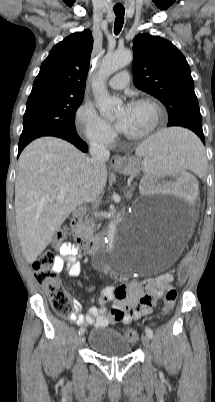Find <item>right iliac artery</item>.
I'll use <instances>...</instances> for the list:
<instances>
[{"instance_id":"82829eb1","label":"right iliac artery","mask_w":215,"mask_h":402,"mask_svg":"<svg viewBox=\"0 0 215 402\" xmlns=\"http://www.w3.org/2000/svg\"><path fill=\"white\" fill-rule=\"evenodd\" d=\"M84 332H85V329H84V328H80L79 331H78L79 335H80V334H83Z\"/></svg>"}]
</instances>
